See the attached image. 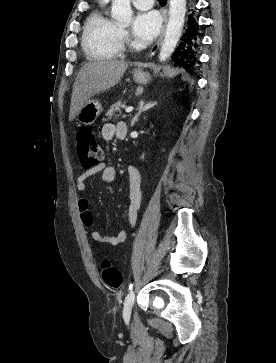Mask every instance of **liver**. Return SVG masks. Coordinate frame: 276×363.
Instances as JSON below:
<instances>
[{
	"label": "liver",
	"mask_w": 276,
	"mask_h": 363,
	"mask_svg": "<svg viewBox=\"0 0 276 363\" xmlns=\"http://www.w3.org/2000/svg\"><path fill=\"white\" fill-rule=\"evenodd\" d=\"M129 63L119 60L88 62L80 69L73 86L69 121L94 95L114 87L123 76Z\"/></svg>",
	"instance_id": "6515ba94"
}]
</instances>
